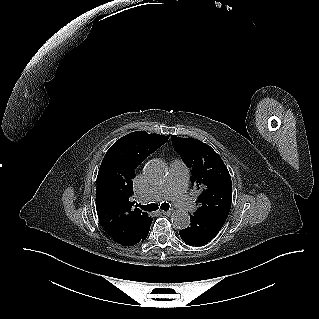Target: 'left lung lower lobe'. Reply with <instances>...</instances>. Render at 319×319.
I'll return each mask as SVG.
<instances>
[{
	"label": "left lung lower lobe",
	"mask_w": 319,
	"mask_h": 319,
	"mask_svg": "<svg viewBox=\"0 0 319 319\" xmlns=\"http://www.w3.org/2000/svg\"><path fill=\"white\" fill-rule=\"evenodd\" d=\"M190 226L180 231V237L188 245H203L212 240L224 225L227 217L217 215L190 216Z\"/></svg>",
	"instance_id": "1"
}]
</instances>
